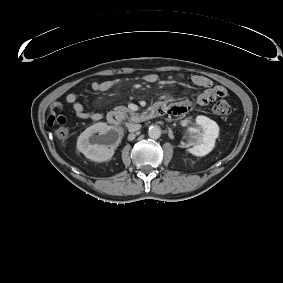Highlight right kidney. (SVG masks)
<instances>
[{
	"instance_id": "ca27d5eb",
	"label": "right kidney",
	"mask_w": 283,
	"mask_h": 283,
	"mask_svg": "<svg viewBox=\"0 0 283 283\" xmlns=\"http://www.w3.org/2000/svg\"><path fill=\"white\" fill-rule=\"evenodd\" d=\"M121 138L122 134L118 129L99 122L80 134L77 140V149L92 161H108L114 155V150L119 146Z\"/></svg>"
}]
</instances>
